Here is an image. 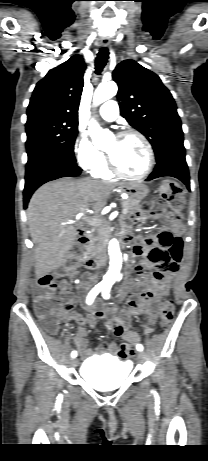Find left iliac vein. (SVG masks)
I'll use <instances>...</instances> for the list:
<instances>
[{"label": "left iliac vein", "mask_w": 208, "mask_h": 461, "mask_svg": "<svg viewBox=\"0 0 208 461\" xmlns=\"http://www.w3.org/2000/svg\"><path fill=\"white\" fill-rule=\"evenodd\" d=\"M145 358H146V356H145V353H144V352H141V351H140V352L137 353V359H138L139 361H144Z\"/></svg>", "instance_id": "4c4485c4"}]
</instances>
